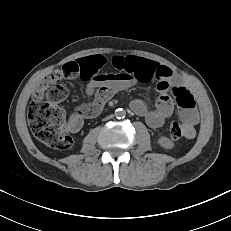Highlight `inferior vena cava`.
Returning a JSON list of instances; mask_svg holds the SVG:
<instances>
[{"mask_svg":"<svg viewBox=\"0 0 231 231\" xmlns=\"http://www.w3.org/2000/svg\"><path fill=\"white\" fill-rule=\"evenodd\" d=\"M113 116L112 115H110V116H108L106 119H110V118H112Z\"/></svg>","mask_w":231,"mask_h":231,"instance_id":"inferior-vena-cava-1","label":"inferior vena cava"}]
</instances>
